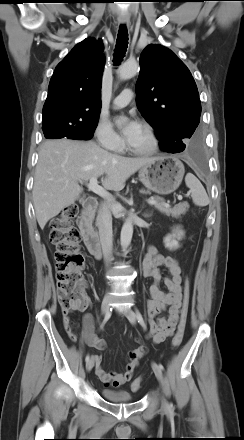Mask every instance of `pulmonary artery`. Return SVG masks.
<instances>
[{
	"label": "pulmonary artery",
	"mask_w": 244,
	"mask_h": 440,
	"mask_svg": "<svg viewBox=\"0 0 244 440\" xmlns=\"http://www.w3.org/2000/svg\"><path fill=\"white\" fill-rule=\"evenodd\" d=\"M133 98V92L129 89L123 90L120 95L113 101L114 109H121L127 106Z\"/></svg>",
	"instance_id": "1"
}]
</instances>
